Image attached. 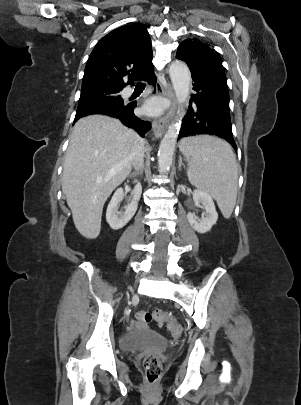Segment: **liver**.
I'll return each instance as SVG.
<instances>
[{"instance_id": "obj_1", "label": "liver", "mask_w": 301, "mask_h": 405, "mask_svg": "<svg viewBox=\"0 0 301 405\" xmlns=\"http://www.w3.org/2000/svg\"><path fill=\"white\" fill-rule=\"evenodd\" d=\"M136 135L118 119L103 115L81 118L73 127L62 191L75 227L86 238L99 235L107 198L131 172Z\"/></svg>"}]
</instances>
